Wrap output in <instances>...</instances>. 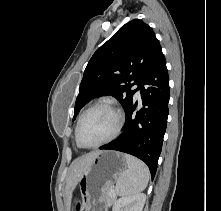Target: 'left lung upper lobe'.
<instances>
[{
    "label": "left lung upper lobe",
    "mask_w": 221,
    "mask_h": 211,
    "mask_svg": "<svg viewBox=\"0 0 221 211\" xmlns=\"http://www.w3.org/2000/svg\"><path fill=\"white\" fill-rule=\"evenodd\" d=\"M161 50L150 26L134 19L123 25L96 50L84 71L74 109V119L92 98L112 95L126 111L133 103L129 90L140 85L150 64Z\"/></svg>",
    "instance_id": "5c2ea615"
}]
</instances>
